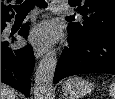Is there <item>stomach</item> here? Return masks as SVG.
<instances>
[{
    "instance_id": "stomach-1",
    "label": "stomach",
    "mask_w": 115,
    "mask_h": 99,
    "mask_svg": "<svg viewBox=\"0 0 115 99\" xmlns=\"http://www.w3.org/2000/svg\"><path fill=\"white\" fill-rule=\"evenodd\" d=\"M92 89V84L80 77H73L68 79L62 87V91L70 99H79L86 94H89Z\"/></svg>"
}]
</instances>
